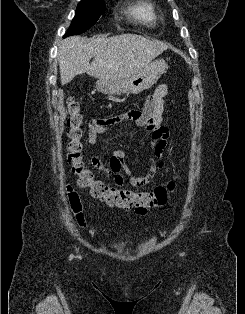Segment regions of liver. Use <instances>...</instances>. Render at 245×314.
<instances>
[{
    "mask_svg": "<svg viewBox=\"0 0 245 314\" xmlns=\"http://www.w3.org/2000/svg\"><path fill=\"white\" fill-rule=\"evenodd\" d=\"M169 46L137 34L100 36L86 39L73 36L61 41L58 62L61 84L87 73L98 79L128 77L146 68ZM95 57L90 64V59Z\"/></svg>",
    "mask_w": 245,
    "mask_h": 314,
    "instance_id": "liver-1",
    "label": "liver"
}]
</instances>
